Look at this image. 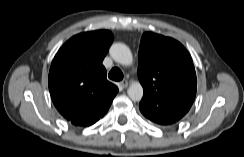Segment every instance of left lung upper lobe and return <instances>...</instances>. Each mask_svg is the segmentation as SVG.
Masks as SVG:
<instances>
[{
	"instance_id": "obj_1",
	"label": "left lung upper lobe",
	"mask_w": 244,
	"mask_h": 157,
	"mask_svg": "<svg viewBox=\"0 0 244 157\" xmlns=\"http://www.w3.org/2000/svg\"><path fill=\"white\" fill-rule=\"evenodd\" d=\"M138 78L144 89L141 113L160 125L180 120L192 106L197 89L189 52L173 38L145 32L138 57Z\"/></svg>"
}]
</instances>
